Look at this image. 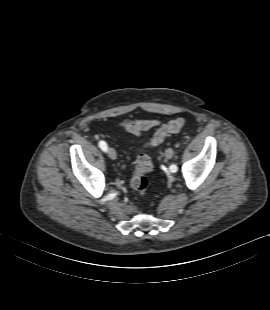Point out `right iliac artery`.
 Masks as SVG:
<instances>
[{
    "mask_svg": "<svg viewBox=\"0 0 270 310\" xmlns=\"http://www.w3.org/2000/svg\"><path fill=\"white\" fill-rule=\"evenodd\" d=\"M99 147L103 150V151H107L108 147L105 141H100L99 142Z\"/></svg>",
    "mask_w": 270,
    "mask_h": 310,
    "instance_id": "right-iliac-artery-1",
    "label": "right iliac artery"
}]
</instances>
